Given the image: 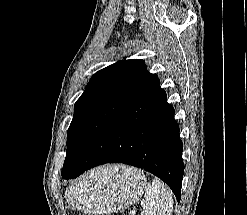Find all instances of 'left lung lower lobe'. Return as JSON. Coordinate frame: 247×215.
Masks as SVG:
<instances>
[{
  "label": "left lung lower lobe",
  "instance_id": "obj_1",
  "mask_svg": "<svg viewBox=\"0 0 247 215\" xmlns=\"http://www.w3.org/2000/svg\"><path fill=\"white\" fill-rule=\"evenodd\" d=\"M182 148L174 109L155 75L103 137L81 145L61 174L73 179L101 164L124 163L162 179L179 202Z\"/></svg>",
  "mask_w": 247,
  "mask_h": 215
}]
</instances>
